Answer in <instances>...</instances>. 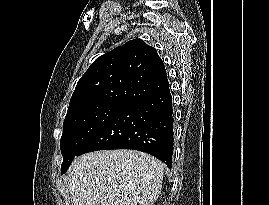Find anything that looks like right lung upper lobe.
<instances>
[{"label":"right lung upper lobe","mask_w":269,"mask_h":205,"mask_svg":"<svg viewBox=\"0 0 269 205\" xmlns=\"http://www.w3.org/2000/svg\"><path fill=\"white\" fill-rule=\"evenodd\" d=\"M169 89L164 63L155 48L130 40L97 58L73 92L67 114L99 104H134Z\"/></svg>","instance_id":"1"}]
</instances>
